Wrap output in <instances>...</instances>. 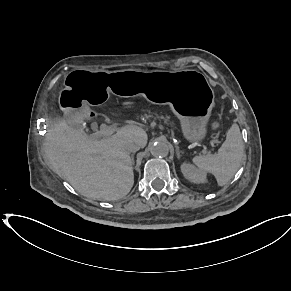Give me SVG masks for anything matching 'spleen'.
<instances>
[{"label": "spleen", "mask_w": 291, "mask_h": 291, "mask_svg": "<svg viewBox=\"0 0 291 291\" xmlns=\"http://www.w3.org/2000/svg\"><path fill=\"white\" fill-rule=\"evenodd\" d=\"M244 156L240 129L233 124L216 154L195 156L192 161L202 171L213 174L219 186L226 185L237 172Z\"/></svg>", "instance_id": "1"}]
</instances>
